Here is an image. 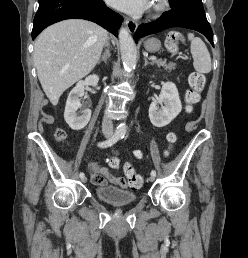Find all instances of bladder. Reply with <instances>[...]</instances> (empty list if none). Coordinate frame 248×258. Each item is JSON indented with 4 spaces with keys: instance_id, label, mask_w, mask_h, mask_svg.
Masks as SVG:
<instances>
[{
    "instance_id": "bladder-1",
    "label": "bladder",
    "mask_w": 248,
    "mask_h": 258,
    "mask_svg": "<svg viewBox=\"0 0 248 258\" xmlns=\"http://www.w3.org/2000/svg\"><path fill=\"white\" fill-rule=\"evenodd\" d=\"M97 198L111 206L123 207L133 204L138 195L129 190H123L113 185H101L95 189Z\"/></svg>"
}]
</instances>
